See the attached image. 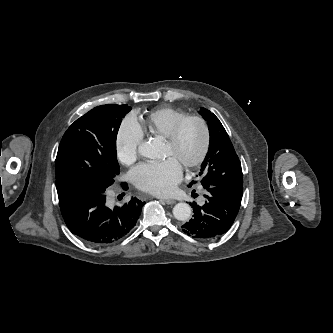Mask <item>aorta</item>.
Returning a JSON list of instances; mask_svg holds the SVG:
<instances>
[{
    "label": "aorta",
    "mask_w": 333,
    "mask_h": 333,
    "mask_svg": "<svg viewBox=\"0 0 333 333\" xmlns=\"http://www.w3.org/2000/svg\"><path fill=\"white\" fill-rule=\"evenodd\" d=\"M140 155L154 159L158 155V149L152 141L143 142L139 145ZM173 215L177 220L186 221L191 216V207L187 203H178L173 208Z\"/></svg>",
    "instance_id": "aorta-1"
}]
</instances>
